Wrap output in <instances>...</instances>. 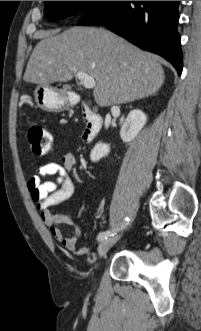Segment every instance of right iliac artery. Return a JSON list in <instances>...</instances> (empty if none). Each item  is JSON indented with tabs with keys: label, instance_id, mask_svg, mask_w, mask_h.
Wrapping results in <instances>:
<instances>
[{
	"label": "right iliac artery",
	"instance_id": "82829eb1",
	"mask_svg": "<svg viewBox=\"0 0 201 331\" xmlns=\"http://www.w3.org/2000/svg\"><path fill=\"white\" fill-rule=\"evenodd\" d=\"M128 222H129V218L126 217L122 227L126 226L128 224ZM114 234H116V230H112V231L109 230V231L101 232V233H99L97 240L103 241V240L107 239V237L113 236Z\"/></svg>",
	"mask_w": 201,
	"mask_h": 331
}]
</instances>
